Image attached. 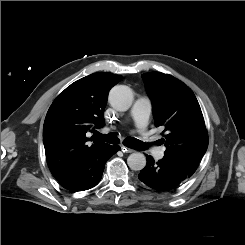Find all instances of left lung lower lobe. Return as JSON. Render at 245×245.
<instances>
[{
    "label": "left lung lower lobe",
    "instance_id": "left-lung-lower-lobe-1",
    "mask_svg": "<svg viewBox=\"0 0 245 245\" xmlns=\"http://www.w3.org/2000/svg\"><path fill=\"white\" fill-rule=\"evenodd\" d=\"M146 157L147 165L140 171L138 178L150 188L161 192L175 190L198 168L197 165H190L170 155H164L157 163L151 156Z\"/></svg>",
    "mask_w": 245,
    "mask_h": 245
}]
</instances>
